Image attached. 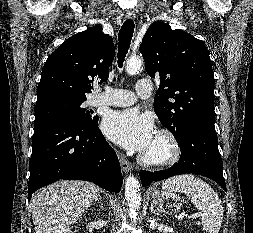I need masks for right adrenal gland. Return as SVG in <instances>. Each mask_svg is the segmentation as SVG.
<instances>
[{"mask_svg": "<svg viewBox=\"0 0 253 233\" xmlns=\"http://www.w3.org/2000/svg\"><path fill=\"white\" fill-rule=\"evenodd\" d=\"M102 201V197L101 196H98V198L94 201V205L97 203V202H100Z\"/></svg>", "mask_w": 253, "mask_h": 233, "instance_id": "2a0ac1e0", "label": "right adrenal gland"}]
</instances>
